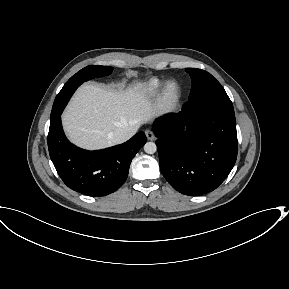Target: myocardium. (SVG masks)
<instances>
[{
  "label": "myocardium",
  "mask_w": 289,
  "mask_h": 289,
  "mask_svg": "<svg viewBox=\"0 0 289 289\" xmlns=\"http://www.w3.org/2000/svg\"><path fill=\"white\" fill-rule=\"evenodd\" d=\"M180 94V86L174 80L166 81L161 88V97L164 100L176 99Z\"/></svg>",
  "instance_id": "1"
}]
</instances>
